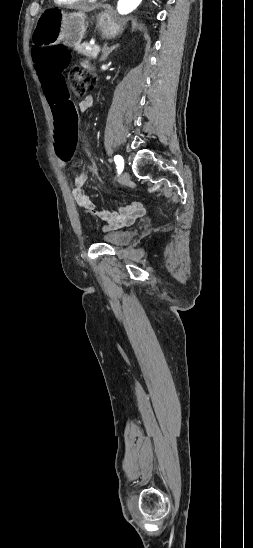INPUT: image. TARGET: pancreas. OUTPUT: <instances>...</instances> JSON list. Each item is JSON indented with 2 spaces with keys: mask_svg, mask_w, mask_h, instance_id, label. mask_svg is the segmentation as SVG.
I'll list each match as a JSON object with an SVG mask.
<instances>
[{
  "mask_svg": "<svg viewBox=\"0 0 253 548\" xmlns=\"http://www.w3.org/2000/svg\"><path fill=\"white\" fill-rule=\"evenodd\" d=\"M95 48H96L95 45H88V47H86L85 45H77L75 47V50L79 54H82V55L88 57L89 59H96L97 55H98V52L95 50Z\"/></svg>",
  "mask_w": 253,
  "mask_h": 548,
  "instance_id": "obj_1",
  "label": "pancreas"
}]
</instances>
